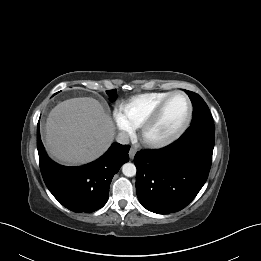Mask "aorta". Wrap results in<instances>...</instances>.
Masks as SVG:
<instances>
[{"label":"aorta","instance_id":"obj_1","mask_svg":"<svg viewBox=\"0 0 261 261\" xmlns=\"http://www.w3.org/2000/svg\"><path fill=\"white\" fill-rule=\"evenodd\" d=\"M122 172L127 177H133L136 175V166L133 163H125L122 166Z\"/></svg>","mask_w":261,"mask_h":261}]
</instances>
